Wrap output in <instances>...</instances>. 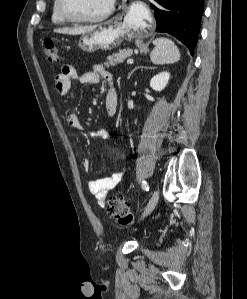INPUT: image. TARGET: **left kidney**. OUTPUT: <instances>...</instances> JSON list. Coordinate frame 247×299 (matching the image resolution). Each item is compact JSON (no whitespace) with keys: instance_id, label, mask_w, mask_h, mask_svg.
<instances>
[{"instance_id":"5707ae66","label":"left kidney","mask_w":247,"mask_h":299,"mask_svg":"<svg viewBox=\"0 0 247 299\" xmlns=\"http://www.w3.org/2000/svg\"><path fill=\"white\" fill-rule=\"evenodd\" d=\"M169 79H170L169 72H166V71L161 72V73L155 75L151 79L150 86L155 91H162L168 84Z\"/></svg>"}]
</instances>
